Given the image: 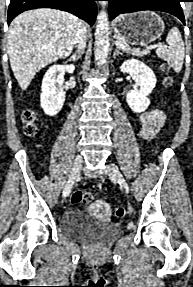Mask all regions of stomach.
I'll return each instance as SVG.
<instances>
[{
	"label": "stomach",
	"mask_w": 193,
	"mask_h": 287,
	"mask_svg": "<svg viewBox=\"0 0 193 287\" xmlns=\"http://www.w3.org/2000/svg\"><path fill=\"white\" fill-rule=\"evenodd\" d=\"M164 28L162 18L152 11L122 15L114 24L115 34L132 45H146L155 41Z\"/></svg>",
	"instance_id": "0dacf381"
}]
</instances>
